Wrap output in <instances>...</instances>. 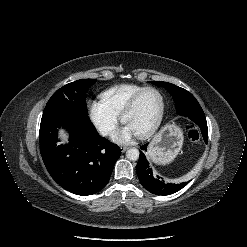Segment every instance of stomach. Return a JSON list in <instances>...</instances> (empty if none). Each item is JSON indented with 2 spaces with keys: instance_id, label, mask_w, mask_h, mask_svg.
<instances>
[{
  "instance_id": "0dacf381",
  "label": "stomach",
  "mask_w": 247,
  "mask_h": 247,
  "mask_svg": "<svg viewBox=\"0 0 247 247\" xmlns=\"http://www.w3.org/2000/svg\"><path fill=\"white\" fill-rule=\"evenodd\" d=\"M183 139L181 128L175 124H168L152 138L147 154L157 164H168L181 151Z\"/></svg>"
}]
</instances>
